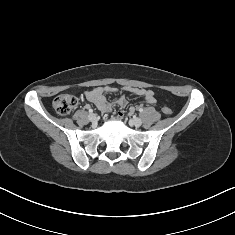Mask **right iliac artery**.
Instances as JSON below:
<instances>
[{
	"instance_id": "obj_1",
	"label": "right iliac artery",
	"mask_w": 235,
	"mask_h": 235,
	"mask_svg": "<svg viewBox=\"0 0 235 235\" xmlns=\"http://www.w3.org/2000/svg\"><path fill=\"white\" fill-rule=\"evenodd\" d=\"M89 113H93V110H92V109H89Z\"/></svg>"
}]
</instances>
